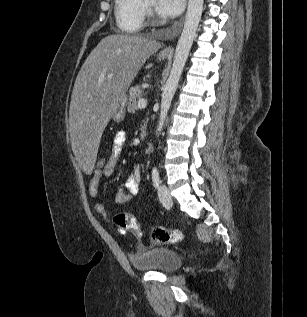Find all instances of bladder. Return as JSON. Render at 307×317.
Wrapping results in <instances>:
<instances>
[{"mask_svg": "<svg viewBox=\"0 0 307 317\" xmlns=\"http://www.w3.org/2000/svg\"><path fill=\"white\" fill-rule=\"evenodd\" d=\"M129 260L137 271L173 272L182 265V256L164 247L152 248L140 255H130Z\"/></svg>", "mask_w": 307, "mask_h": 317, "instance_id": "bladder-1", "label": "bladder"}]
</instances>
